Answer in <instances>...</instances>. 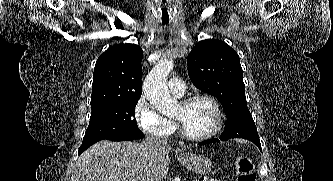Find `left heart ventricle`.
I'll list each match as a JSON object with an SVG mask.
<instances>
[{
    "instance_id": "1",
    "label": "left heart ventricle",
    "mask_w": 333,
    "mask_h": 181,
    "mask_svg": "<svg viewBox=\"0 0 333 181\" xmlns=\"http://www.w3.org/2000/svg\"><path fill=\"white\" fill-rule=\"evenodd\" d=\"M172 117L178 120L188 133L193 135L207 133L215 123L213 107L204 100H198L185 106L179 104Z\"/></svg>"
}]
</instances>
